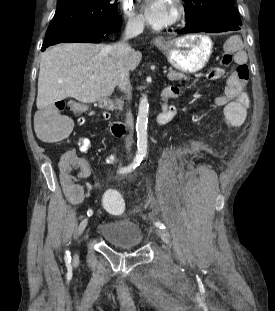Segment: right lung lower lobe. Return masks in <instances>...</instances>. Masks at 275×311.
Listing matches in <instances>:
<instances>
[{"instance_id":"obj_1","label":"right lung lower lobe","mask_w":275,"mask_h":311,"mask_svg":"<svg viewBox=\"0 0 275 311\" xmlns=\"http://www.w3.org/2000/svg\"><path fill=\"white\" fill-rule=\"evenodd\" d=\"M121 22L118 17L108 21L76 26L63 29L49 37H46L41 50L48 46L62 42L100 43L108 38V34L120 28Z\"/></svg>"}]
</instances>
